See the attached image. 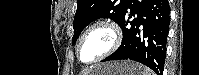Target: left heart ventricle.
Returning <instances> with one entry per match:
<instances>
[{"instance_id":"left-heart-ventricle-1","label":"left heart ventricle","mask_w":199,"mask_h":75,"mask_svg":"<svg viewBox=\"0 0 199 75\" xmlns=\"http://www.w3.org/2000/svg\"><path fill=\"white\" fill-rule=\"evenodd\" d=\"M111 40L110 32L105 29L91 31L81 45L80 56L82 61L89 62L97 58L109 48Z\"/></svg>"}]
</instances>
